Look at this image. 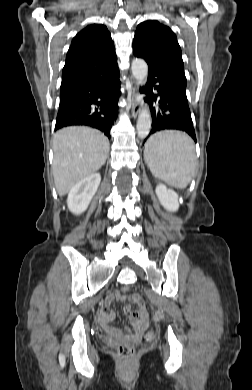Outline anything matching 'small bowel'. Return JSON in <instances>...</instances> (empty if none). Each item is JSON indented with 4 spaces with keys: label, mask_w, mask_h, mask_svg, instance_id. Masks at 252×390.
<instances>
[{
    "label": "small bowel",
    "mask_w": 252,
    "mask_h": 390,
    "mask_svg": "<svg viewBox=\"0 0 252 390\" xmlns=\"http://www.w3.org/2000/svg\"><path fill=\"white\" fill-rule=\"evenodd\" d=\"M115 297L119 298L122 301L126 299V297L119 292L111 293L106 297L105 307L101 310L100 313V319L104 324H108L115 317L114 312L108 309V306L115 299ZM136 303L139 306L136 312H134L129 305L125 306L124 311L129 317L135 335L140 337L146 332L148 328L149 314L146 306L141 300H137Z\"/></svg>",
    "instance_id": "obj_1"
}]
</instances>
